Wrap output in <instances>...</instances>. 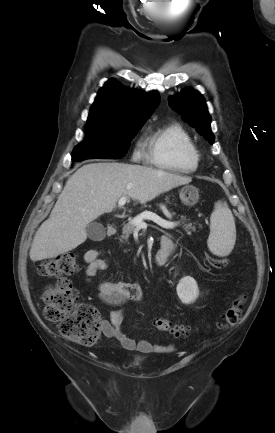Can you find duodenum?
<instances>
[{
	"label": "duodenum",
	"mask_w": 275,
	"mask_h": 433,
	"mask_svg": "<svg viewBox=\"0 0 275 433\" xmlns=\"http://www.w3.org/2000/svg\"><path fill=\"white\" fill-rule=\"evenodd\" d=\"M117 227L114 223H109L107 226L108 236H114L116 234ZM171 250V246L168 243H161L160 250L154 256V262L157 266H163L168 262V255Z\"/></svg>",
	"instance_id": "duodenum-1"
}]
</instances>
